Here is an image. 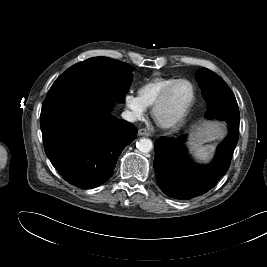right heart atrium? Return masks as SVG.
Segmentation results:
<instances>
[{
    "label": "right heart atrium",
    "instance_id": "right-heart-atrium-1",
    "mask_svg": "<svg viewBox=\"0 0 267 267\" xmlns=\"http://www.w3.org/2000/svg\"><path fill=\"white\" fill-rule=\"evenodd\" d=\"M124 101L133 119H140L146 113L147 107L138 95L129 92L126 94Z\"/></svg>",
    "mask_w": 267,
    "mask_h": 267
}]
</instances>
